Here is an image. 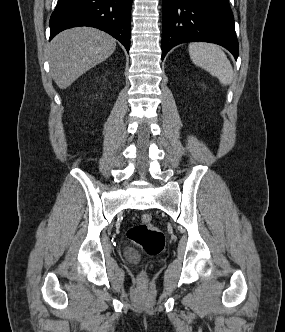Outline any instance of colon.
<instances>
[{"label":"colon","instance_id":"colon-1","mask_svg":"<svg viewBox=\"0 0 285 332\" xmlns=\"http://www.w3.org/2000/svg\"><path fill=\"white\" fill-rule=\"evenodd\" d=\"M127 237L149 255L160 253L165 245V237L159 227L154 223L151 214H144L141 223L131 226L127 230ZM141 280L145 274H141Z\"/></svg>","mask_w":285,"mask_h":332}]
</instances>
